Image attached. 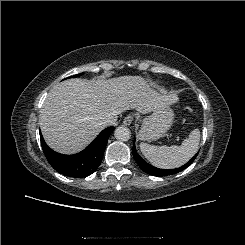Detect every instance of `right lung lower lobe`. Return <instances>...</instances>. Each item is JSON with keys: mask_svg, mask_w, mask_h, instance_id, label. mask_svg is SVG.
I'll list each match as a JSON object with an SVG mask.
<instances>
[{"mask_svg": "<svg viewBox=\"0 0 245 245\" xmlns=\"http://www.w3.org/2000/svg\"><path fill=\"white\" fill-rule=\"evenodd\" d=\"M113 130L114 127L104 129L86 149L74 155H63L53 151L44 142L41 134L40 140L48 162L56 171L65 176L83 178L97 170Z\"/></svg>", "mask_w": 245, "mask_h": 245, "instance_id": "right-lung-lower-lobe-1", "label": "right lung lower lobe"}]
</instances>
